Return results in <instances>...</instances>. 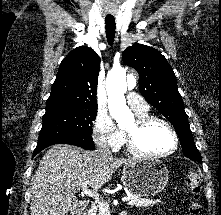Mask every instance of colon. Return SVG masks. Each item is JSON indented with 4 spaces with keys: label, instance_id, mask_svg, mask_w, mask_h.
Masks as SVG:
<instances>
[{
    "label": "colon",
    "instance_id": "obj_1",
    "mask_svg": "<svg viewBox=\"0 0 221 215\" xmlns=\"http://www.w3.org/2000/svg\"><path fill=\"white\" fill-rule=\"evenodd\" d=\"M186 184L190 192V204L188 207V215H198L200 213V196H201V181L200 176L195 171H189L185 177Z\"/></svg>",
    "mask_w": 221,
    "mask_h": 215
}]
</instances>
